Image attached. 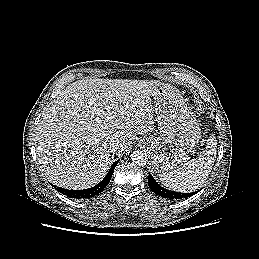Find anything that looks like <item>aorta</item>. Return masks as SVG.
<instances>
[{
  "mask_svg": "<svg viewBox=\"0 0 259 259\" xmlns=\"http://www.w3.org/2000/svg\"><path fill=\"white\" fill-rule=\"evenodd\" d=\"M130 157H131V160L133 161V163H135L138 166L146 165L147 160H148L146 153H144L143 151H140V150H135L131 154Z\"/></svg>",
  "mask_w": 259,
  "mask_h": 259,
  "instance_id": "obj_1",
  "label": "aorta"
}]
</instances>
